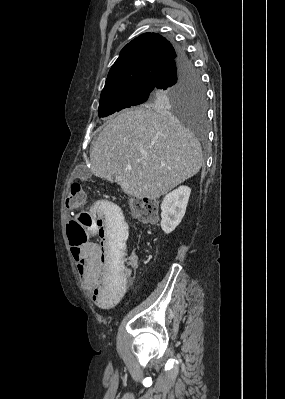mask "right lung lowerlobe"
<instances>
[{"mask_svg":"<svg viewBox=\"0 0 285 399\" xmlns=\"http://www.w3.org/2000/svg\"><path fill=\"white\" fill-rule=\"evenodd\" d=\"M176 55V59L165 69L161 75L156 84V89H161L167 85L175 83L182 77L186 70L193 67L185 50L178 48L176 50Z\"/></svg>","mask_w":285,"mask_h":399,"instance_id":"1","label":"right lung lower lobe"}]
</instances>
